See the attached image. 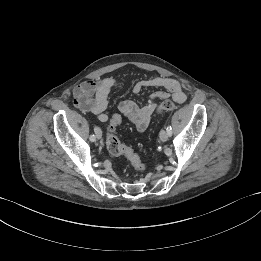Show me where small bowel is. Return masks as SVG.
Segmentation results:
<instances>
[{"label": "small bowel", "instance_id": "obj_1", "mask_svg": "<svg viewBox=\"0 0 261 261\" xmlns=\"http://www.w3.org/2000/svg\"><path fill=\"white\" fill-rule=\"evenodd\" d=\"M116 85L117 80L114 77L85 81L74 88V103L81 111L95 114L98 121L106 122L109 119L105 113L108 98ZM149 87L159 90L154 92L144 105L140 106L135 101L127 99L120 102L118 106L120 113L128 118L140 132L149 126L157 101L171 97L175 102L183 103L187 99L179 81L169 77L154 76L138 80L133 85L132 91L137 94Z\"/></svg>", "mask_w": 261, "mask_h": 261}]
</instances>
